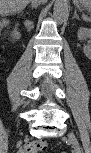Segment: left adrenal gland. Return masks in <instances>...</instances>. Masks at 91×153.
<instances>
[{
	"instance_id": "a2214340",
	"label": "left adrenal gland",
	"mask_w": 91,
	"mask_h": 153,
	"mask_svg": "<svg viewBox=\"0 0 91 153\" xmlns=\"http://www.w3.org/2000/svg\"><path fill=\"white\" fill-rule=\"evenodd\" d=\"M73 18L79 19L78 15H77V10H76V9H75V11H74V16H73Z\"/></svg>"
}]
</instances>
